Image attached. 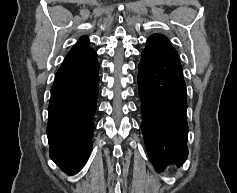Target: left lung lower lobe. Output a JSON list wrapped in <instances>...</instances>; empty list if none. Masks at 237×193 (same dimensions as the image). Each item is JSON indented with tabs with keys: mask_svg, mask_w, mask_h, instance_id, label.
<instances>
[{
	"mask_svg": "<svg viewBox=\"0 0 237 193\" xmlns=\"http://www.w3.org/2000/svg\"><path fill=\"white\" fill-rule=\"evenodd\" d=\"M141 129L149 158L156 170L180 165L188 155L186 85L177 51L148 39L138 65Z\"/></svg>",
	"mask_w": 237,
	"mask_h": 193,
	"instance_id": "1",
	"label": "left lung lower lobe"
}]
</instances>
